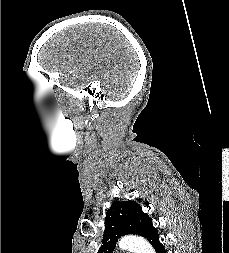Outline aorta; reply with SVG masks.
Wrapping results in <instances>:
<instances>
[{
	"label": "aorta",
	"mask_w": 229,
	"mask_h": 253,
	"mask_svg": "<svg viewBox=\"0 0 229 253\" xmlns=\"http://www.w3.org/2000/svg\"><path fill=\"white\" fill-rule=\"evenodd\" d=\"M119 247L134 253H155L149 242L141 237L129 236L120 240Z\"/></svg>",
	"instance_id": "1"
}]
</instances>
